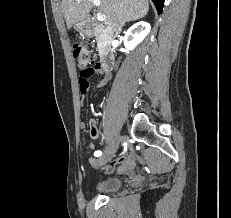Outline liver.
Returning a JSON list of instances; mask_svg holds the SVG:
<instances>
[{
    "instance_id": "obj_1",
    "label": "liver",
    "mask_w": 231,
    "mask_h": 218,
    "mask_svg": "<svg viewBox=\"0 0 231 218\" xmlns=\"http://www.w3.org/2000/svg\"><path fill=\"white\" fill-rule=\"evenodd\" d=\"M100 13L106 16L105 24L112 32L121 31V24L147 15L148 0H100ZM62 10L67 28L83 21L93 7L92 0H62Z\"/></svg>"
}]
</instances>
